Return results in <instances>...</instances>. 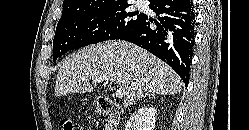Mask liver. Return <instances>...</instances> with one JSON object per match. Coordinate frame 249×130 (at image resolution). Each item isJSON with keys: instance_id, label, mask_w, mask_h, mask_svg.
Instances as JSON below:
<instances>
[{"instance_id": "1", "label": "liver", "mask_w": 249, "mask_h": 130, "mask_svg": "<svg viewBox=\"0 0 249 130\" xmlns=\"http://www.w3.org/2000/svg\"><path fill=\"white\" fill-rule=\"evenodd\" d=\"M93 79L116 83L124 89L123 105L145 97L177 94L182 89L176 72L146 50L121 40H109L74 53L58 71L55 96L91 93Z\"/></svg>"}]
</instances>
